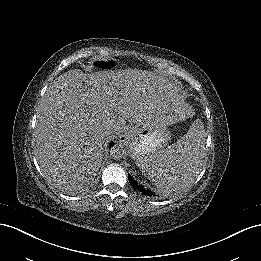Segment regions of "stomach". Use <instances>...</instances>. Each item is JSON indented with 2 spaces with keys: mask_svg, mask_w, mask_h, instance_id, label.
I'll return each mask as SVG.
<instances>
[{
  "mask_svg": "<svg viewBox=\"0 0 261 261\" xmlns=\"http://www.w3.org/2000/svg\"><path fill=\"white\" fill-rule=\"evenodd\" d=\"M167 139L162 118L150 116L147 121L130 130V156L138 162L156 153Z\"/></svg>",
  "mask_w": 261,
  "mask_h": 261,
  "instance_id": "1",
  "label": "stomach"
}]
</instances>
